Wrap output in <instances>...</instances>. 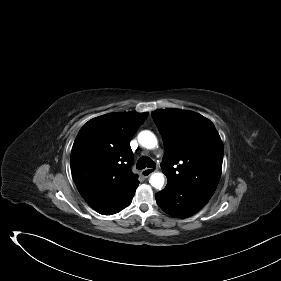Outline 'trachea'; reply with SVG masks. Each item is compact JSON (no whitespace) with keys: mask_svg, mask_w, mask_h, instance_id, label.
I'll return each mask as SVG.
<instances>
[{"mask_svg":"<svg viewBox=\"0 0 281 281\" xmlns=\"http://www.w3.org/2000/svg\"><path fill=\"white\" fill-rule=\"evenodd\" d=\"M152 168L155 167V162L150 159L149 157H141L137 161V169H144V168Z\"/></svg>","mask_w":281,"mask_h":281,"instance_id":"obj_1","label":"trachea"}]
</instances>
